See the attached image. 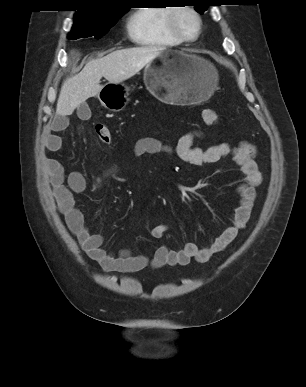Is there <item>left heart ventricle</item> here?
Returning <instances> with one entry per match:
<instances>
[{
	"label": "left heart ventricle",
	"instance_id": "1",
	"mask_svg": "<svg viewBox=\"0 0 306 387\" xmlns=\"http://www.w3.org/2000/svg\"><path fill=\"white\" fill-rule=\"evenodd\" d=\"M178 25L185 35L192 37L197 30V21L195 17L188 11H182L178 15Z\"/></svg>",
	"mask_w": 306,
	"mask_h": 387
}]
</instances>
